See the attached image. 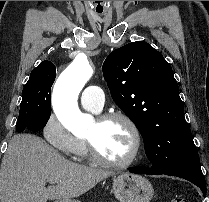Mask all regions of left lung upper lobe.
Masks as SVG:
<instances>
[{"instance_id":"obj_1","label":"left lung upper lobe","mask_w":209,"mask_h":202,"mask_svg":"<svg viewBox=\"0 0 209 202\" xmlns=\"http://www.w3.org/2000/svg\"><path fill=\"white\" fill-rule=\"evenodd\" d=\"M103 74L141 133L151 168L168 170L196 150L177 81L159 51L144 41L129 43L109 54Z\"/></svg>"}]
</instances>
